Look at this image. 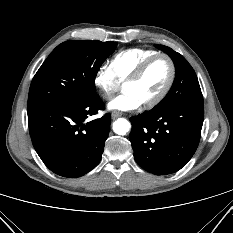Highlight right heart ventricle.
I'll return each mask as SVG.
<instances>
[{
	"label": "right heart ventricle",
	"mask_w": 233,
	"mask_h": 233,
	"mask_svg": "<svg viewBox=\"0 0 233 233\" xmlns=\"http://www.w3.org/2000/svg\"><path fill=\"white\" fill-rule=\"evenodd\" d=\"M158 54L152 49L132 48L114 55L108 63V69L119 83L124 82L136 68L149 57Z\"/></svg>",
	"instance_id": "obj_1"
}]
</instances>
